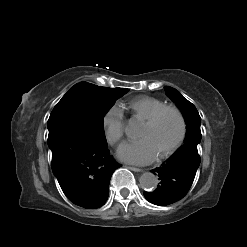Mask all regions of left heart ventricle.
Listing matches in <instances>:
<instances>
[{"instance_id": "b2bd125f", "label": "left heart ventricle", "mask_w": 247, "mask_h": 247, "mask_svg": "<svg viewBox=\"0 0 247 247\" xmlns=\"http://www.w3.org/2000/svg\"><path fill=\"white\" fill-rule=\"evenodd\" d=\"M179 132V122L173 113L164 114L152 127L142 125L138 137L148 139L157 154L163 152L176 139Z\"/></svg>"}]
</instances>
